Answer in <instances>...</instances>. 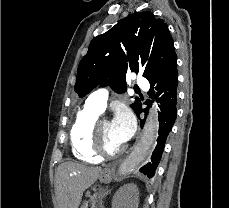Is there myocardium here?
<instances>
[{
    "mask_svg": "<svg viewBox=\"0 0 229 208\" xmlns=\"http://www.w3.org/2000/svg\"><path fill=\"white\" fill-rule=\"evenodd\" d=\"M99 125L100 123L94 122L92 127V135L96 143H92L91 152L96 153V158H104V155L114 157L123 153L125 150L124 145L117 148H111V151H107L106 139L99 132Z\"/></svg>",
    "mask_w": 229,
    "mask_h": 208,
    "instance_id": "1",
    "label": "myocardium"
}]
</instances>
